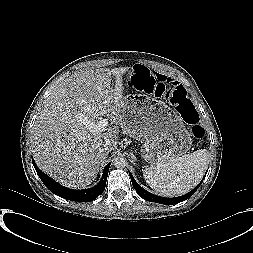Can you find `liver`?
Here are the masks:
<instances>
[{
	"label": "liver",
	"instance_id": "obj_1",
	"mask_svg": "<svg viewBox=\"0 0 253 253\" xmlns=\"http://www.w3.org/2000/svg\"><path fill=\"white\" fill-rule=\"evenodd\" d=\"M128 67L85 68L58 84L44 102L32 127V151L38 167L70 188L92 183L105 161L104 145L118 143L124 97L122 76ZM112 77L115 80L112 87ZM107 116L116 126L91 132L84 119Z\"/></svg>",
	"mask_w": 253,
	"mask_h": 253
}]
</instances>
